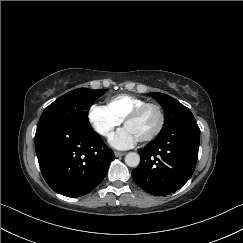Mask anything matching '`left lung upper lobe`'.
<instances>
[{"instance_id":"1","label":"left lung upper lobe","mask_w":243,"mask_h":243,"mask_svg":"<svg viewBox=\"0 0 243 243\" xmlns=\"http://www.w3.org/2000/svg\"><path fill=\"white\" fill-rule=\"evenodd\" d=\"M147 95L154 97L162 105L164 110L165 122L159 134L173 129L187 119L194 118L193 114L187 107L166 94L153 92L148 93Z\"/></svg>"}]
</instances>
